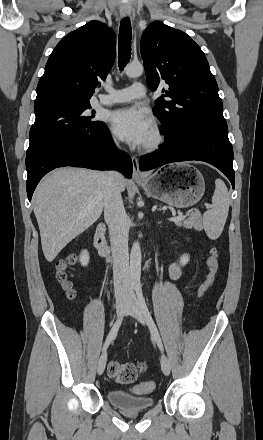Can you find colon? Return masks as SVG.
I'll return each instance as SVG.
<instances>
[{
  "mask_svg": "<svg viewBox=\"0 0 263 440\" xmlns=\"http://www.w3.org/2000/svg\"><path fill=\"white\" fill-rule=\"evenodd\" d=\"M76 263L75 256H69L65 260H62L57 265L56 279L60 283L61 287L66 291L68 297L72 298L75 295L72 283L69 280V268ZM207 265V277L204 284L201 287L200 295L203 296L207 293L213 285L216 272L219 265V250L217 247L212 246L210 248V254L206 261ZM145 364L142 362H110L107 368L109 377L117 383L129 384L135 381L138 376L144 371ZM155 385L151 381H146L138 384L134 387V392L138 394L148 393L154 389Z\"/></svg>",
  "mask_w": 263,
  "mask_h": 440,
  "instance_id": "colon-1",
  "label": "colon"
}]
</instances>
